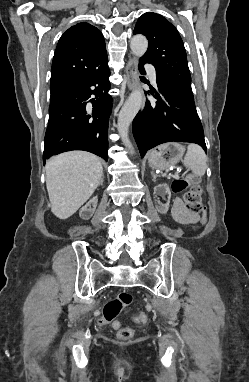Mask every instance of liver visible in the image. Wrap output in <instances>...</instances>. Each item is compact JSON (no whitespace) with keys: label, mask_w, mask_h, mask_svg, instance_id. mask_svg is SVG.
Wrapping results in <instances>:
<instances>
[{"label":"liver","mask_w":249,"mask_h":382,"mask_svg":"<svg viewBox=\"0 0 249 382\" xmlns=\"http://www.w3.org/2000/svg\"><path fill=\"white\" fill-rule=\"evenodd\" d=\"M103 167L99 158L85 151H70L46 163V187L52 213L67 219L92 196Z\"/></svg>","instance_id":"liver-1"}]
</instances>
